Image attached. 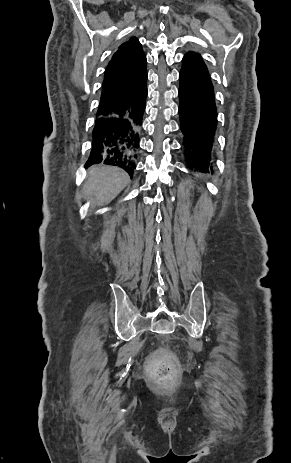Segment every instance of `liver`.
Listing matches in <instances>:
<instances>
[{
  "mask_svg": "<svg viewBox=\"0 0 291 463\" xmlns=\"http://www.w3.org/2000/svg\"><path fill=\"white\" fill-rule=\"evenodd\" d=\"M130 182L129 175L118 167L93 166L83 186L86 196L94 198V204H109Z\"/></svg>",
  "mask_w": 291,
  "mask_h": 463,
  "instance_id": "1",
  "label": "liver"
}]
</instances>
